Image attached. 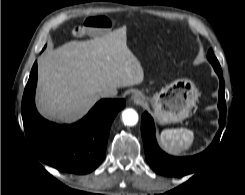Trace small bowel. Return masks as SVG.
Masks as SVG:
<instances>
[{"mask_svg": "<svg viewBox=\"0 0 245 195\" xmlns=\"http://www.w3.org/2000/svg\"><path fill=\"white\" fill-rule=\"evenodd\" d=\"M111 27V21L104 16H90L83 25L75 27L73 33L75 35H83L86 33L99 34L107 31Z\"/></svg>", "mask_w": 245, "mask_h": 195, "instance_id": "c3829d8e", "label": "small bowel"}]
</instances>
